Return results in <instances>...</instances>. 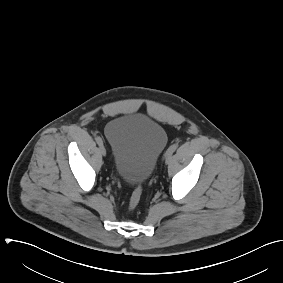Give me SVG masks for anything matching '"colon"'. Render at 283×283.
Returning a JSON list of instances; mask_svg holds the SVG:
<instances>
[{
    "instance_id": "1",
    "label": "colon",
    "mask_w": 283,
    "mask_h": 283,
    "mask_svg": "<svg viewBox=\"0 0 283 283\" xmlns=\"http://www.w3.org/2000/svg\"><path fill=\"white\" fill-rule=\"evenodd\" d=\"M142 191H143V188L140 184L135 187V189L132 192V195L130 197V201H129V209L130 210L135 209L137 207V205L139 204V201H140L141 196H142Z\"/></svg>"
}]
</instances>
